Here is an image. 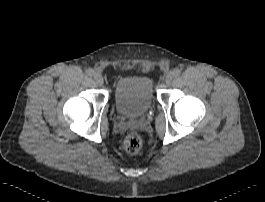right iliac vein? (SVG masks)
Returning <instances> with one entry per match:
<instances>
[{
	"instance_id": "obj_1",
	"label": "right iliac vein",
	"mask_w": 265,
	"mask_h": 202,
	"mask_svg": "<svg viewBox=\"0 0 265 202\" xmlns=\"http://www.w3.org/2000/svg\"><path fill=\"white\" fill-rule=\"evenodd\" d=\"M94 80H95L96 84H98V85H102L104 82L102 75L98 72L94 73Z\"/></svg>"
}]
</instances>
